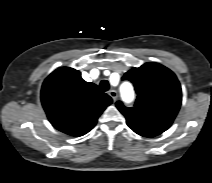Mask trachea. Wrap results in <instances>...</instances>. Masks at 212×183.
I'll return each instance as SVG.
<instances>
[{
  "label": "trachea",
  "mask_w": 212,
  "mask_h": 183,
  "mask_svg": "<svg viewBox=\"0 0 212 183\" xmlns=\"http://www.w3.org/2000/svg\"><path fill=\"white\" fill-rule=\"evenodd\" d=\"M100 88L103 90V91H108L109 88H110V85H109V82L107 80H102L100 82Z\"/></svg>",
  "instance_id": "obj_1"
}]
</instances>
